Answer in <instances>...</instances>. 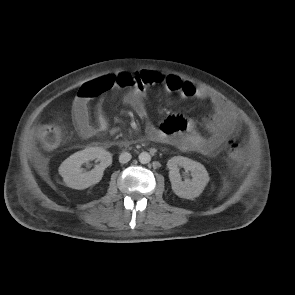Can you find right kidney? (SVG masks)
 Segmentation results:
<instances>
[{
	"label": "right kidney",
	"instance_id": "right-kidney-1",
	"mask_svg": "<svg viewBox=\"0 0 295 295\" xmlns=\"http://www.w3.org/2000/svg\"><path fill=\"white\" fill-rule=\"evenodd\" d=\"M97 159L100 163L89 172L83 173L81 165ZM112 155L103 148L90 147L69 156L59 167V174L66 186L73 189H86L98 183L104 170L111 165Z\"/></svg>",
	"mask_w": 295,
	"mask_h": 295
}]
</instances>
